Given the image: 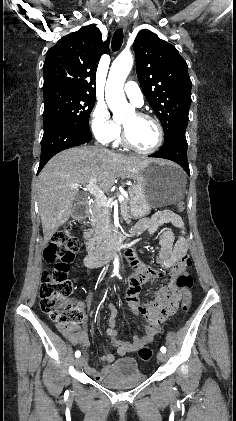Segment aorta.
Segmentation results:
<instances>
[{
    "label": "aorta",
    "instance_id": "obj_1",
    "mask_svg": "<svg viewBox=\"0 0 236 421\" xmlns=\"http://www.w3.org/2000/svg\"><path fill=\"white\" fill-rule=\"evenodd\" d=\"M133 66L132 54L121 52L112 62L106 82V100L109 108L114 110V104L123 102L125 98L123 86L124 82ZM119 269V261H114V273Z\"/></svg>",
    "mask_w": 236,
    "mask_h": 421
}]
</instances>
